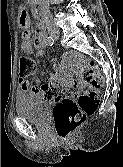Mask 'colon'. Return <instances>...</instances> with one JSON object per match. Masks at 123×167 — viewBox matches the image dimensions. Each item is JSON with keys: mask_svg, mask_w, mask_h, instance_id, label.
<instances>
[{"mask_svg": "<svg viewBox=\"0 0 123 167\" xmlns=\"http://www.w3.org/2000/svg\"><path fill=\"white\" fill-rule=\"evenodd\" d=\"M36 70V63L29 55H22L19 59V75L28 77ZM84 78L94 88H100L104 84V78L94 63L83 66ZM99 103V96L91 91L78 97L76 101L63 98L57 102L54 108V126L59 138L67 139L85 121L86 117L93 114Z\"/></svg>", "mask_w": 123, "mask_h": 167, "instance_id": "1", "label": "colon"}]
</instances>
